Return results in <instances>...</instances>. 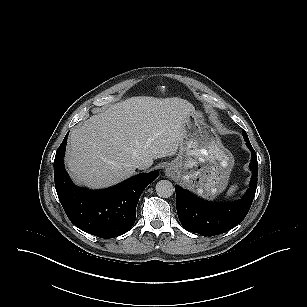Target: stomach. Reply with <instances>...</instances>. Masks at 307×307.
I'll return each mask as SVG.
<instances>
[{"instance_id":"stomach-1","label":"stomach","mask_w":307,"mask_h":307,"mask_svg":"<svg viewBox=\"0 0 307 307\" xmlns=\"http://www.w3.org/2000/svg\"><path fill=\"white\" fill-rule=\"evenodd\" d=\"M234 158L200 111L189 113L171 174L185 187L204 198H215L228 184Z\"/></svg>"}]
</instances>
